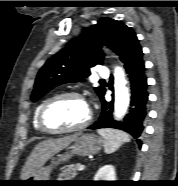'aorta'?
Wrapping results in <instances>:
<instances>
[{"instance_id":"762f6f07","label":"aorta","mask_w":178,"mask_h":186,"mask_svg":"<svg viewBox=\"0 0 178 186\" xmlns=\"http://www.w3.org/2000/svg\"><path fill=\"white\" fill-rule=\"evenodd\" d=\"M114 88H115V116L121 118L125 115L129 106V93L126 86L124 71L120 67L114 70Z\"/></svg>"}]
</instances>
